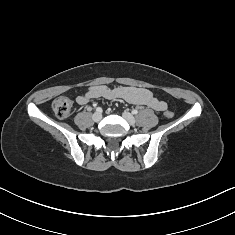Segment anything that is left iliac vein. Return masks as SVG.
<instances>
[{
    "label": "left iliac vein",
    "instance_id": "1",
    "mask_svg": "<svg viewBox=\"0 0 235 235\" xmlns=\"http://www.w3.org/2000/svg\"><path fill=\"white\" fill-rule=\"evenodd\" d=\"M122 116L130 125H134L136 123V119L131 113L124 111Z\"/></svg>",
    "mask_w": 235,
    "mask_h": 235
}]
</instances>
